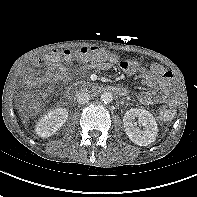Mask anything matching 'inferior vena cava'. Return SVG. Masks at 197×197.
Here are the masks:
<instances>
[{
	"label": "inferior vena cava",
	"mask_w": 197,
	"mask_h": 197,
	"mask_svg": "<svg viewBox=\"0 0 197 197\" xmlns=\"http://www.w3.org/2000/svg\"><path fill=\"white\" fill-rule=\"evenodd\" d=\"M76 97L79 104H86L90 99V95L86 92H79Z\"/></svg>",
	"instance_id": "inferior-vena-cava-1"
}]
</instances>
